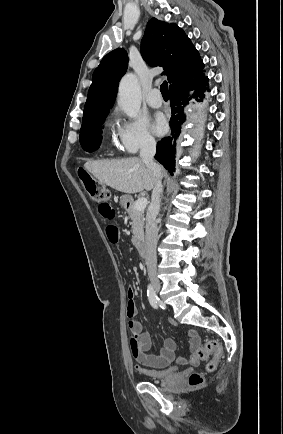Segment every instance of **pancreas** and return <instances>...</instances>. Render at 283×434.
Masks as SVG:
<instances>
[{
	"label": "pancreas",
	"mask_w": 283,
	"mask_h": 434,
	"mask_svg": "<svg viewBox=\"0 0 283 434\" xmlns=\"http://www.w3.org/2000/svg\"><path fill=\"white\" fill-rule=\"evenodd\" d=\"M126 211L132 220V243L134 246H138L144 240V212L136 210L134 204L126 209Z\"/></svg>",
	"instance_id": "obj_1"
}]
</instances>
